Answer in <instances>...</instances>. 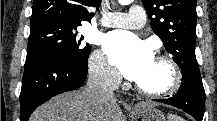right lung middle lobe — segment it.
<instances>
[{
  "mask_svg": "<svg viewBox=\"0 0 217 121\" xmlns=\"http://www.w3.org/2000/svg\"><path fill=\"white\" fill-rule=\"evenodd\" d=\"M78 26L55 20L31 24L26 62L54 59L87 63L91 46L82 42L83 36L78 35Z\"/></svg>",
  "mask_w": 217,
  "mask_h": 121,
  "instance_id": "obj_1",
  "label": "right lung middle lobe"
}]
</instances>
